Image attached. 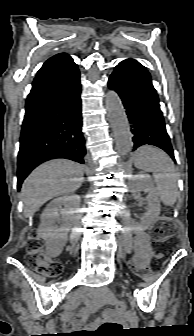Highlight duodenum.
<instances>
[{
    "label": "duodenum",
    "mask_w": 194,
    "mask_h": 336,
    "mask_svg": "<svg viewBox=\"0 0 194 336\" xmlns=\"http://www.w3.org/2000/svg\"><path fill=\"white\" fill-rule=\"evenodd\" d=\"M92 303H93L94 305H97V304H98L97 301H96L95 299L92 300Z\"/></svg>",
    "instance_id": "1"
}]
</instances>
